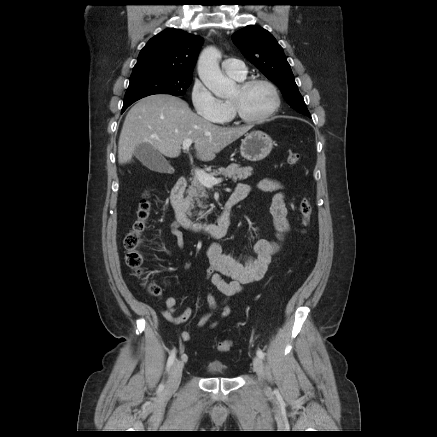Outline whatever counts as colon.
Masks as SVG:
<instances>
[{
	"label": "colon",
	"instance_id": "colon-1",
	"mask_svg": "<svg viewBox=\"0 0 437 437\" xmlns=\"http://www.w3.org/2000/svg\"><path fill=\"white\" fill-rule=\"evenodd\" d=\"M300 160L299 152L295 150H289L287 153V163L289 165H296ZM151 202L147 197L140 200L138 209L136 212V219L132 224L131 230L126 234L124 238V247L126 249V264L132 270V273L136 277L143 275V263L145 260L144 252L142 248L144 246L145 237L144 234L148 229V222L151 215ZM299 212L301 215V221L304 227H307L310 223L312 216V205L308 198H303L299 204ZM147 289L150 294L157 295L160 292L159 286L154 283H146ZM232 342L230 340H223L218 344V350L221 352H227L230 350Z\"/></svg>",
	"mask_w": 437,
	"mask_h": 437
}]
</instances>
